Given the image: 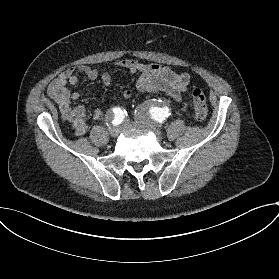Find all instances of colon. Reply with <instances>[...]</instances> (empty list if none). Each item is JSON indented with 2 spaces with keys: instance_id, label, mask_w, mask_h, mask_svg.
Listing matches in <instances>:
<instances>
[{
  "instance_id": "5ec220e1",
  "label": "colon",
  "mask_w": 279,
  "mask_h": 279,
  "mask_svg": "<svg viewBox=\"0 0 279 279\" xmlns=\"http://www.w3.org/2000/svg\"><path fill=\"white\" fill-rule=\"evenodd\" d=\"M191 97L196 119L199 121L205 120L207 118L208 111L206 105V98L203 91L200 88L195 87L192 90Z\"/></svg>"
}]
</instances>
